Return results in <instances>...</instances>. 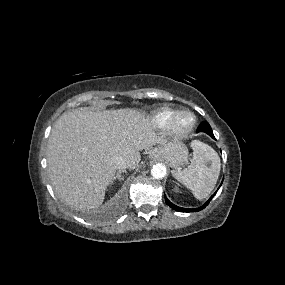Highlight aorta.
<instances>
[{
  "mask_svg": "<svg viewBox=\"0 0 285 285\" xmlns=\"http://www.w3.org/2000/svg\"><path fill=\"white\" fill-rule=\"evenodd\" d=\"M166 167L165 165L158 163L153 165L152 169H151V175L155 178V179H162L165 177L166 175Z\"/></svg>",
  "mask_w": 285,
  "mask_h": 285,
  "instance_id": "762f6f07",
  "label": "aorta"
}]
</instances>
